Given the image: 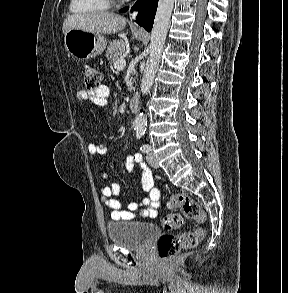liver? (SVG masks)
Masks as SVG:
<instances>
[{"mask_svg": "<svg viewBox=\"0 0 288 293\" xmlns=\"http://www.w3.org/2000/svg\"><path fill=\"white\" fill-rule=\"evenodd\" d=\"M126 19L110 12H92L69 15L63 23L64 35L71 28L96 34H115L124 29Z\"/></svg>", "mask_w": 288, "mask_h": 293, "instance_id": "obj_1", "label": "liver"}]
</instances>
